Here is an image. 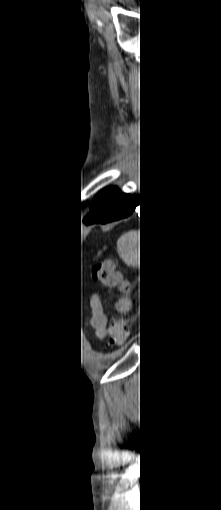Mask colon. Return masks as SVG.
<instances>
[{
	"instance_id": "obj_1",
	"label": "colon",
	"mask_w": 221,
	"mask_h": 510,
	"mask_svg": "<svg viewBox=\"0 0 221 510\" xmlns=\"http://www.w3.org/2000/svg\"><path fill=\"white\" fill-rule=\"evenodd\" d=\"M92 279L107 288L116 287L119 283V276L114 272L111 263L108 261L99 262L93 266ZM110 331V341L113 346L122 345L129 335L127 326L119 320L114 321Z\"/></svg>"
}]
</instances>
